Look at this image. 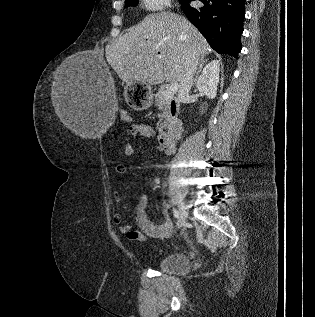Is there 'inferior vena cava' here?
<instances>
[{
    "label": "inferior vena cava",
    "mask_w": 315,
    "mask_h": 317,
    "mask_svg": "<svg viewBox=\"0 0 315 317\" xmlns=\"http://www.w3.org/2000/svg\"><path fill=\"white\" fill-rule=\"evenodd\" d=\"M199 58L193 56L189 58L186 65V70L184 75L180 78V85L178 91V101L184 102L185 99L189 96L191 87L194 82V75L197 70Z\"/></svg>",
    "instance_id": "1"
}]
</instances>
